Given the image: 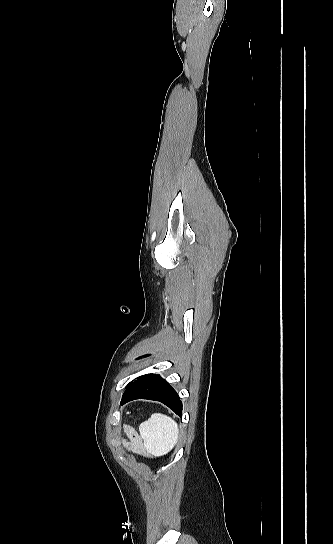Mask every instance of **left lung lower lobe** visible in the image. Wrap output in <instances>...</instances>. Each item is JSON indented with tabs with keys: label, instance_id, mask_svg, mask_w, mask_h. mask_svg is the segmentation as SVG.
Listing matches in <instances>:
<instances>
[{
	"label": "left lung lower lobe",
	"instance_id": "left-lung-lower-lobe-1",
	"mask_svg": "<svg viewBox=\"0 0 333 544\" xmlns=\"http://www.w3.org/2000/svg\"><path fill=\"white\" fill-rule=\"evenodd\" d=\"M134 399L160 401L182 416V402L175 390L158 375H144L128 384L121 400L125 404Z\"/></svg>",
	"mask_w": 333,
	"mask_h": 544
}]
</instances>
